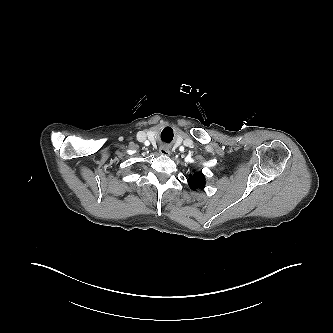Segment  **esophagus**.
Returning <instances> with one entry per match:
<instances>
[{"label":"esophagus","mask_w":333,"mask_h":333,"mask_svg":"<svg viewBox=\"0 0 333 333\" xmlns=\"http://www.w3.org/2000/svg\"><path fill=\"white\" fill-rule=\"evenodd\" d=\"M159 153L162 155V156H170V151L168 148L166 147H161L159 149Z\"/></svg>","instance_id":"34e87169"}]
</instances>
